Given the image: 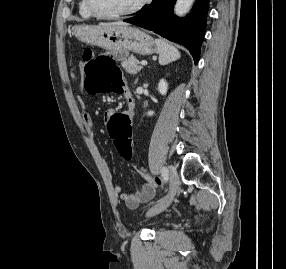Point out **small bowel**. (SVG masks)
Masks as SVG:
<instances>
[{"label":"small bowel","instance_id":"obj_1","mask_svg":"<svg viewBox=\"0 0 286 269\" xmlns=\"http://www.w3.org/2000/svg\"><path fill=\"white\" fill-rule=\"evenodd\" d=\"M71 76L74 80L77 79V75L75 73H73ZM120 92L124 94V97L126 100V108L125 109L127 111H131V113H132L135 103H134V99H133L131 91L125 87H122L120 89ZM112 113H115V108H108V111H101L100 112L101 122L107 123L109 121V118L112 115ZM81 120H82L85 128L88 131L93 130V120H92V117H91L89 112L83 110L81 113ZM139 175L142 178L147 179V175L143 170L139 171ZM108 177L111 178L110 172H108ZM113 192L117 197H119L121 200H123L126 203L127 207L130 209H137L141 203L150 200L155 194L154 188L150 185H146L143 192L137 193V194L125 193L123 191L122 186H120V185L114 186Z\"/></svg>","mask_w":286,"mask_h":269}]
</instances>
